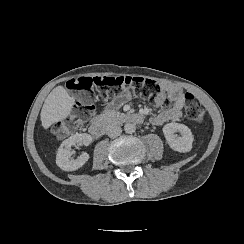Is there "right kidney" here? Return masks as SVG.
I'll use <instances>...</instances> for the list:
<instances>
[{
  "mask_svg": "<svg viewBox=\"0 0 244 244\" xmlns=\"http://www.w3.org/2000/svg\"><path fill=\"white\" fill-rule=\"evenodd\" d=\"M91 142L89 134H76L64 140L56 156V164L63 171H76L89 160L87 153H82L77 159L70 160L72 146L88 145Z\"/></svg>",
  "mask_w": 244,
  "mask_h": 244,
  "instance_id": "obj_1",
  "label": "right kidney"
}]
</instances>
